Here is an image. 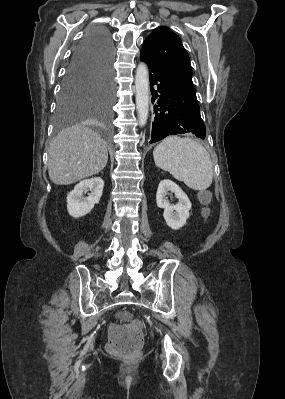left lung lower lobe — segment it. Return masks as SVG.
I'll use <instances>...</instances> for the list:
<instances>
[{
  "mask_svg": "<svg viewBox=\"0 0 285 399\" xmlns=\"http://www.w3.org/2000/svg\"><path fill=\"white\" fill-rule=\"evenodd\" d=\"M140 58L149 67L152 103L155 104L150 143L160 141L168 135L183 133H192L204 139L205 125L196 96L145 52H140Z\"/></svg>",
  "mask_w": 285,
  "mask_h": 399,
  "instance_id": "1",
  "label": "left lung lower lobe"
}]
</instances>
